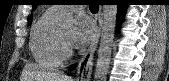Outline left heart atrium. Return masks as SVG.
<instances>
[{"mask_svg":"<svg viewBox=\"0 0 169 81\" xmlns=\"http://www.w3.org/2000/svg\"><path fill=\"white\" fill-rule=\"evenodd\" d=\"M93 32L94 26L89 17L84 14L77 15L70 34V44L73 47L85 46L93 36Z\"/></svg>","mask_w":169,"mask_h":81,"instance_id":"1","label":"left heart atrium"}]
</instances>
